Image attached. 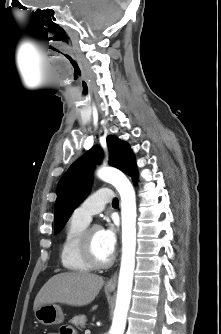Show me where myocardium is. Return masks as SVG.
<instances>
[{
	"mask_svg": "<svg viewBox=\"0 0 221 334\" xmlns=\"http://www.w3.org/2000/svg\"><path fill=\"white\" fill-rule=\"evenodd\" d=\"M95 229H100L96 224L87 226L81 234L79 248L85 261L92 267L97 269H104L110 267L115 260V253L112 252L107 260H100L96 256L93 249L92 232Z\"/></svg>",
	"mask_w": 221,
	"mask_h": 334,
	"instance_id": "f54148a6",
	"label": "myocardium"
}]
</instances>
